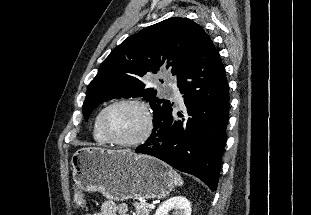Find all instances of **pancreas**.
Returning a JSON list of instances; mask_svg holds the SVG:
<instances>
[{"instance_id": "obj_1", "label": "pancreas", "mask_w": 311, "mask_h": 215, "mask_svg": "<svg viewBox=\"0 0 311 215\" xmlns=\"http://www.w3.org/2000/svg\"><path fill=\"white\" fill-rule=\"evenodd\" d=\"M137 215H149L151 209L146 202H133Z\"/></svg>"}]
</instances>
